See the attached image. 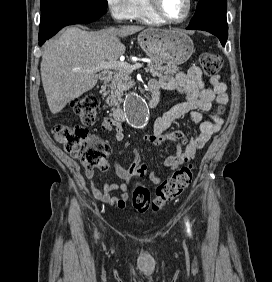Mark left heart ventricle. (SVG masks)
Segmentation results:
<instances>
[{"instance_id":"obj_1","label":"left heart ventricle","mask_w":272,"mask_h":282,"mask_svg":"<svg viewBox=\"0 0 272 282\" xmlns=\"http://www.w3.org/2000/svg\"><path fill=\"white\" fill-rule=\"evenodd\" d=\"M163 11L170 18H181L187 10L186 0H159Z\"/></svg>"}]
</instances>
